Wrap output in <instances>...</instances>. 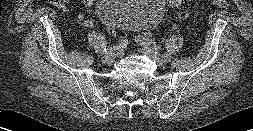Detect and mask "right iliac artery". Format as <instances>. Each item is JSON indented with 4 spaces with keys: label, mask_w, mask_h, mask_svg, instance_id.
<instances>
[{
    "label": "right iliac artery",
    "mask_w": 253,
    "mask_h": 131,
    "mask_svg": "<svg viewBox=\"0 0 253 131\" xmlns=\"http://www.w3.org/2000/svg\"><path fill=\"white\" fill-rule=\"evenodd\" d=\"M124 46H126V40H121L116 45L109 46L107 48L105 47L102 51V54H108V53H111L112 51L120 50V49L124 48Z\"/></svg>",
    "instance_id": "1"
}]
</instances>
